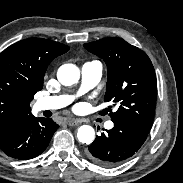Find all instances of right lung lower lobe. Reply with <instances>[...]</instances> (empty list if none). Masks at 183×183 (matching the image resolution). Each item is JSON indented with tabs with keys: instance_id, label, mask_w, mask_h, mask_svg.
<instances>
[{
	"instance_id": "98d812e1",
	"label": "right lung lower lobe",
	"mask_w": 183,
	"mask_h": 183,
	"mask_svg": "<svg viewBox=\"0 0 183 183\" xmlns=\"http://www.w3.org/2000/svg\"><path fill=\"white\" fill-rule=\"evenodd\" d=\"M58 128L59 125L50 118H36L32 114L23 116L0 139V150L18 160L37 157L47 148Z\"/></svg>"
}]
</instances>
